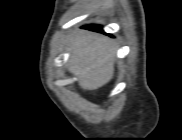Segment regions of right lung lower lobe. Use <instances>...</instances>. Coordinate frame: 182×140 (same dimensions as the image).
<instances>
[{"mask_svg":"<svg viewBox=\"0 0 182 140\" xmlns=\"http://www.w3.org/2000/svg\"><path fill=\"white\" fill-rule=\"evenodd\" d=\"M88 28L92 29V30H95V31H101V26L99 25H90L88 26Z\"/></svg>","mask_w":182,"mask_h":140,"instance_id":"1","label":"right lung lower lobe"}]
</instances>
